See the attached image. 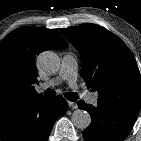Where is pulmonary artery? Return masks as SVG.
I'll return each mask as SVG.
<instances>
[{"instance_id":"obj_1","label":"pulmonary artery","mask_w":141,"mask_h":141,"mask_svg":"<svg viewBox=\"0 0 141 141\" xmlns=\"http://www.w3.org/2000/svg\"><path fill=\"white\" fill-rule=\"evenodd\" d=\"M78 74V65L76 59L71 54H66L62 58L61 68L59 74L53 80L43 83L39 88L46 89L48 87H53L60 84L63 81L69 83L72 88H76ZM98 94H88L85 99L88 103L94 104L97 101Z\"/></svg>"}]
</instances>
